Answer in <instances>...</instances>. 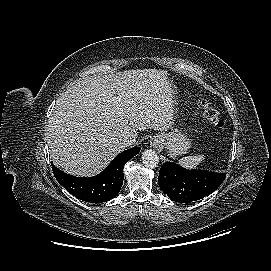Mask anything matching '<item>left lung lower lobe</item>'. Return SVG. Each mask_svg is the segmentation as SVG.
Here are the masks:
<instances>
[{"instance_id":"obj_1","label":"left lung lower lobe","mask_w":271,"mask_h":271,"mask_svg":"<svg viewBox=\"0 0 271 271\" xmlns=\"http://www.w3.org/2000/svg\"><path fill=\"white\" fill-rule=\"evenodd\" d=\"M225 177V173L187 170L178 164L167 162L160 169L158 183L171 200L189 203L210 195Z\"/></svg>"}]
</instances>
